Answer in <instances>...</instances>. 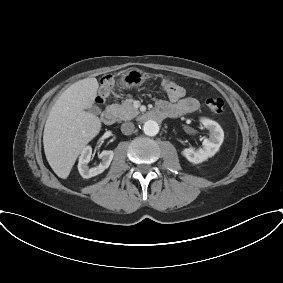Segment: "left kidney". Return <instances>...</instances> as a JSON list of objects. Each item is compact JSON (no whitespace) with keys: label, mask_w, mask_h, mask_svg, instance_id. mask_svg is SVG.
I'll list each match as a JSON object with an SVG mask.
<instances>
[{"label":"left kidney","mask_w":283,"mask_h":283,"mask_svg":"<svg viewBox=\"0 0 283 283\" xmlns=\"http://www.w3.org/2000/svg\"><path fill=\"white\" fill-rule=\"evenodd\" d=\"M201 122L209 130V138L203 140L202 148L198 150L186 148L182 151V155L193 164L202 163L214 156L224 139V132L217 122L210 119H201Z\"/></svg>","instance_id":"left-kidney-1"}]
</instances>
